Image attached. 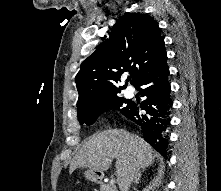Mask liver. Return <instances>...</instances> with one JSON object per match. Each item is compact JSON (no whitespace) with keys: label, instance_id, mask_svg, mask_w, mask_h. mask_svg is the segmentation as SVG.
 I'll use <instances>...</instances> for the list:
<instances>
[{"label":"liver","instance_id":"6515ba94","mask_svg":"<svg viewBox=\"0 0 221 191\" xmlns=\"http://www.w3.org/2000/svg\"><path fill=\"white\" fill-rule=\"evenodd\" d=\"M114 158L119 186L131 171L145 170L154 161L153 149L145 140L123 129H110L93 134L79 146L69 171L82 167L103 173Z\"/></svg>","mask_w":221,"mask_h":191}]
</instances>
